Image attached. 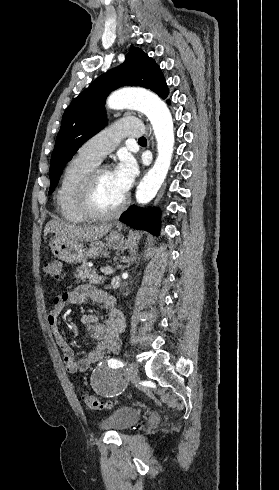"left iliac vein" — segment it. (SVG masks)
<instances>
[{"label":"left iliac vein","instance_id":"left-iliac-vein-1","mask_svg":"<svg viewBox=\"0 0 279 490\" xmlns=\"http://www.w3.org/2000/svg\"><path fill=\"white\" fill-rule=\"evenodd\" d=\"M127 367L128 375L133 380L138 375V367L136 363H130Z\"/></svg>","mask_w":279,"mask_h":490}]
</instances>
